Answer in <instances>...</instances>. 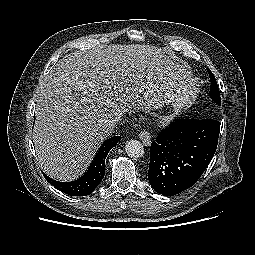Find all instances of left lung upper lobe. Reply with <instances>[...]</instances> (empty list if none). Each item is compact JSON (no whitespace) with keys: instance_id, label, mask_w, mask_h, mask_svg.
Masks as SVG:
<instances>
[{"instance_id":"obj_1","label":"left lung upper lobe","mask_w":255,"mask_h":255,"mask_svg":"<svg viewBox=\"0 0 255 255\" xmlns=\"http://www.w3.org/2000/svg\"><path fill=\"white\" fill-rule=\"evenodd\" d=\"M208 73L211 79L210 97L216 104L220 105L221 100H220V93H219L217 82L215 80L214 75L212 74L210 70L208 71Z\"/></svg>"}]
</instances>
